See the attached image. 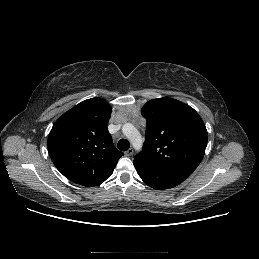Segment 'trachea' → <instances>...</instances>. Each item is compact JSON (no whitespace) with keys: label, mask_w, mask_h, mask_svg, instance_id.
Masks as SVG:
<instances>
[{"label":"trachea","mask_w":259,"mask_h":259,"mask_svg":"<svg viewBox=\"0 0 259 259\" xmlns=\"http://www.w3.org/2000/svg\"><path fill=\"white\" fill-rule=\"evenodd\" d=\"M117 147L121 151H127L130 147V143L127 139H120L117 144Z\"/></svg>","instance_id":"trachea-1"}]
</instances>
